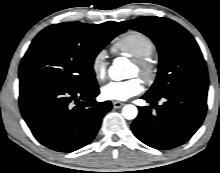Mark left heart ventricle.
I'll return each mask as SVG.
<instances>
[{
    "label": "left heart ventricle",
    "mask_w": 220,
    "mask_h": 173,
    "mask_svg": "<svg viewBox=\"0 0 220 173\" xmlns=\"http://www.w3.org/2000/svg\"><path fill=\"white\" fill-rule=\"evenodd\" d=\"M137 75V69L134 65H132L131 69H130V76L133 77Z\"/></svg>",
    "instance_id": "1"
}]
</instances>
